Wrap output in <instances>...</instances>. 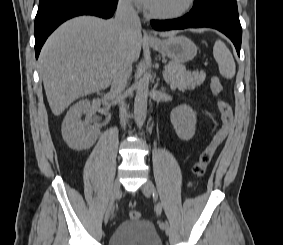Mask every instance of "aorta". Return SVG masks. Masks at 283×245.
<instances>
[{
    "label": "aorta",
    "instance_id": "obj_1",
    "mask_svg": "<svg viewBox=\"0 0 283 245\" xmlns=\"http://www.w3.org/2000/svg\"><path fill=\"white\" fill-rule=\"evenodd\" d=\"M148 81L141 78L137 84V91L134 101V118L138 127L143 126L147 114Z\"/></svg>",
    "mask_w": 283,
    "mask_h": 245
}]
</instances>
